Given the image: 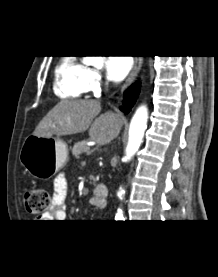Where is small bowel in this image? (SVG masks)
I'll list each match as a JSON object with an SVG mask.
<instances>
[{"label":"small bowel","instance_id":"small-bowel-1","mask_svg":"<svg viewBox=\"0 0 218 277\" xmlns=\"http://www.w3.org/2000/svg\"><path fill=\"white\" fill-rule=\"evenodd\" d=\"M53 197L51 210L42 215V220H55L63 222L66 219V198L68 190V182L64 174H59L53 184Z\"/></svg>","mask_w":218,"mask_h":277}]
</instances>
